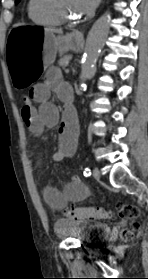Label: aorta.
I'll use <instances>...</instances> for the list:
<instances>
[{"mask_svg": "<svg viewBox=\"0 0 148 279\" xmlns=\"http://www.w3.org/2000/svg\"><path fill=\"white\" fill-rule=\"evenodd\" d=\"M110 29V18L102 15L92 26L86 39L84 60L81 66L80 87L85 85L94 73L96 60L104 46Z\"/></svg>", "mask_w": 148, "mask_h": 279, "instance_id": "aorta-1", "label": "aorta"}]
</instances>
